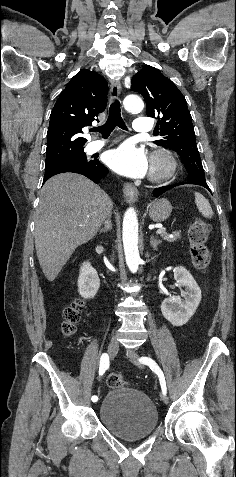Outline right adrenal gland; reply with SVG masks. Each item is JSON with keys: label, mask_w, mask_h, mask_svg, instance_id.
Instances as JSON below:
<instances>
[{"label": "right adrenal gland", "mask_w": 236, "mask_h": 477, "mask_svg": "<svg viewBox=\"0 0 236 477\" xmlns=\"http://www.w3.org/2000/svg\"><path fill=\"white\" fill-rule=\"evenodd\" d=\"M111 229H112L111 215H109L107 217V220L104 222V228L100 230V233L110 231Z\"/></svg>", "instance_id": "2a0ac1e0"}]
</instances>
